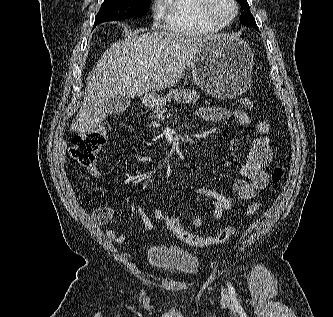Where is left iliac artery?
Masks as SVG:
<instances>
[{"label": "left iliac artery", "mask_w": 333, "mask_h": 317, "mask_svg": "<svg viewBox=\"0 0 333 317\" xmlns=\"http://www.w3.org/2000/svg\"><path fill=\"white\" fill-rule=\"evenodd\" d=\"M228 289L231 293L235 292L233 286L230 283L228 284Z\"/></svg>", "instance_id": "44dca946"}]
</instances>
